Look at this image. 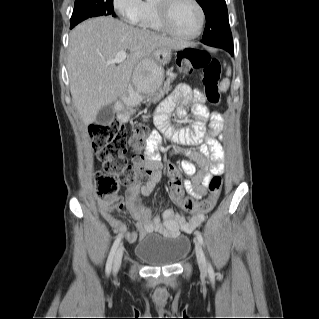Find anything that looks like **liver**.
Wrapping results in <instances>:
<instances>
[{"mask_svg":"<svg viewBox=\"0 0 319 319\" xmlns=\"http://www.w3.org/2000/svg\"><path fill=\"white\" fill-rule=\"evenodd\" d=\"M186 46L111 17L91 18L77 25L69 35L67 70L72 100L83 123L92 124L102 107L124 95L136 66L156 49ZM127 50V59L117 66L111 62L118 52Z\"/></svg>","mask_w":319,"mask_h":319,"instance_id":"1","label":"liver"}]
</instances>
